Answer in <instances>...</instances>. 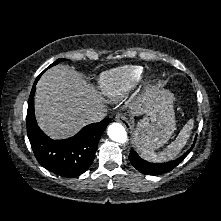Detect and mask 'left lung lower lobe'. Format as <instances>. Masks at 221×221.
I'll return each instance as SVG.
<instances>
[{"label": "left lung lower lobe", "instance_id": "obj_1", "mask_svg": "<svg viewBox=\"0 0 221 221\" xmlns=\"http://www.w3.org/2000/svg\"><path fill=\"white\" fill-rule=\"evenodd\" d=\"M195 141H196V138H195ZM192 148L193 146L186 153H184L181 157L177 158L176 160L169 161L166 163H159V164L149 163L143 160L142 158L139 157V155L133 149H131L130 154H129V160L131 164L143 174L160 175V174L169 172L172 169H174L180 162L184 160V158L188 155V153L192 150Z\"/></svg>", "mask_w": 221, "mask_h": 221}]
</instances>
